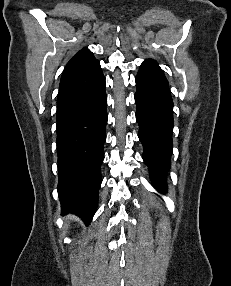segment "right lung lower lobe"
<instances>
[{"label":"right lung lower lobe","instance_id":"98d812e1","mask_svg":"<svg viewBox=\"0 0 231 286\" xmlns=\"http://www.w3.org/2000/svg\"><path fill=\"white\" fill-rule=\"evenodd\" d=\"M102 70L60 82L57 99L58 195L63 213L89 224L98 203L107 123Z\"/></svg>","mask_w":231,"mask_h":286}]
</instances>
